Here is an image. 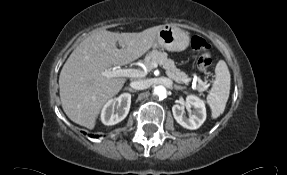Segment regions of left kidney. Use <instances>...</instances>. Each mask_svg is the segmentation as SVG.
Instances as JSON below:
<instances>
[{"instance_id": "left-kidney-1", "label": "left kidney", "mask_w": 287, "mask_h": 175, "mask_svg": "<svg viewBox=\"0 0 287 175\" xmlns=\"http://www.w3.org/2000/svg\"><path fill=\"white\" fill-rule=\"evenodd\" d=\"M186 107L193 108L189 118L184 115V106L173 105L172 112L175 120L184 128L195 130L198 129L206 120V108L203 100L195 95H189L186 98Z\"/></svg>"}]
</instances>
